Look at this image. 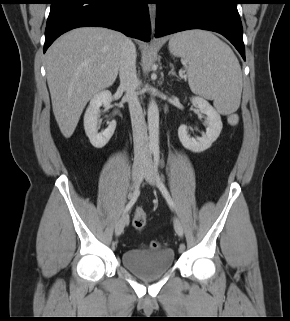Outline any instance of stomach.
<instances>
[{
	"label": "stomach",
	"instance_id": "1",
	"mask_svg": "<svg viewBox=\"0 0 290 321\" xmlns=\"http://www.w3.org/2000/svg\"><path fill=\"white\" fill-rule=\"evenodd\" d=\"M169 50H170V52L173 54V55H176V52H175V50L169 45Z\"/></svg>",
	"mask_w": 290,
	"mask_h": 321
}]
</instances>
